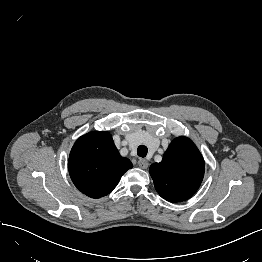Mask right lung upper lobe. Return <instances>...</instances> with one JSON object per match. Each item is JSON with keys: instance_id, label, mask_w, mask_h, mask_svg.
I'll return each instance as SVG.
<instances>
[{"instance_id": "cb5924a9", "label": "right lung upper lobe", "mask_w": 262, "mask_h": 262, "mask_svg": "<svg viewBox=\"0 0 262 262\" xmlns=\"http://www.w3.org/2000/svg\"><path fill=\"white\" fill-rule=\"evenodd\" d=\"M133 165L122 157L109 132L93 131L74 144L68 169L75 186L85 195L100 198L109 194Z\"/></svg>"}]
</instances>
